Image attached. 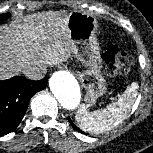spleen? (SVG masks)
<instances>
[{
    "label": "spleen",
    "mask_w": 153,
    "mask_h": 153,
    "mask_svg": "<svg viewBox=\"0 0 153 153\" xmlns=\"http://www.w3.org/2000/svg\"><path fill=\"white\" fill-rule=\"evenodd\" d=\"M138 83L133 82L118 98L105 109L88 112L82 105L76 116L78 126L86 132L100 134L117 127L127 117L137 96Z\"/></svg>",
    "instance_id": "3e777b00"
}]
</instances>
